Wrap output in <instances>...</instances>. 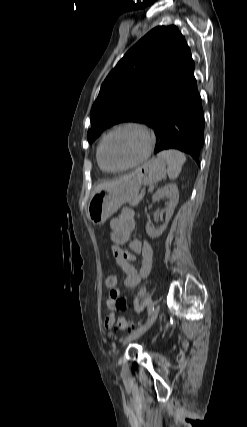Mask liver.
Here are the masks:
<instances>
[{"label": "liver", "mask_w": 247, "mask_h": 427, "mask_svg": "<svg viewBox=\"0 0 247 427\" xmlns=\"http://www.w3.org/2000/svg\"><path fill=\"white\" fill-rule=\"evenodd\" d=\"M133 174L134 173L126 175V176H123V177L119 178L118 180L101 183V184H99V185H97L95 187V189H94V191H93L92 194H94L95 192H97L99 190H102V189H107V188L115 187L118 184L122 183L123 181H125V180L129 179L130 177H132Z\"/></svg>", "instance_id": "1"}]
</instances>
